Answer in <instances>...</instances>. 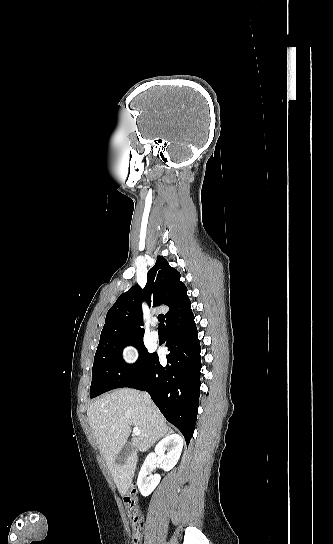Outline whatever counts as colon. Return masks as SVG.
<instances>
[{
	"instance_id": "obj_1",
	"label": "colon",
	"mask_w": 333,
	"mask_h": 544,
	"mask_svg": "<svg viewBox=\"0 0 333 544\" xmlns=\"http://www.w3.org/2000/svg\"><path fill=\"white\" fill-rule=\"evenodd\" d=\"M124 504L132 526V544H140L143 533V518L138 506L137 492L134 487L124 496Z\"/></svg>"
}]
</instances>
